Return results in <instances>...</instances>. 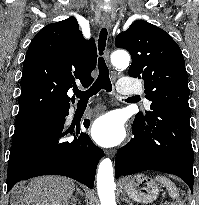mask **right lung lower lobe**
I'll list each match as a JSON object with an SVG mask.
<instances>
[{
  "label": "right lung lower lobe",
  "mask_w": 199,
  "mask_h": 205,
  "mask_svg": "<svg viewBox=\"0 0 199 205\" xmlns=\"http://www.w3.org/2000/svg\"><path fill=\"white\" fill-rule=\"evenodd\" d=\"M70 106L59 123L41 126L12 139L7 170V192L20 180L41 175H62L93 188L96 168L104 156L85 133L66 141L69 133L64 124ZM89 120L84 126L89 127Z\"/></svg>",
  "instance_id": "1"
}]
</instances>
